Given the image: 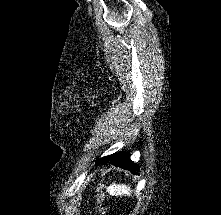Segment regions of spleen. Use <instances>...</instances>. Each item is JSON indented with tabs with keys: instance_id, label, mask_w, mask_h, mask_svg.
<instances>
[{
	"instance_id": "1",
	"label": "spleen",
	"mask_w": 221,
	"mask_h": 215,
	"mask_svg": "<svg viewBox=\"0 0 221 215\" xmlns=\"http://www.w3.org/2000/svg\"><path fill=\"white\" fill-rule=\"evenodd\" d=\"M107 191L112 196H121V195H129L130 187L122 184H112L107 188Z\"/></svg>"
}]
</instances>
